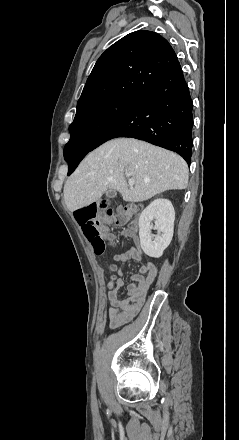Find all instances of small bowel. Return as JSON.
I'll use <instances>...</instances> for the list:
<instances>
[{
	"label": "small bowel",
	"instance_id": "small-bowel-1",
	"mask_svg": "<svg viewBox=\"0 0 239 440\" xmlns=\"http://www.w3.org/2000/svg\"><path fill=\"white\" fill-rule=\"evenodd\" d=\"M129 259L143 261V256L137 245L130 246L126 251L114 256L115 262L121 263ZM118 275L113 276L109 284L108 297L111 308L108 310V320L111 328L120 327L128 323L142 307L147 292L155 280L157 268L151 261H146L139 269L138 274L130 277L131 282L127 285L126 296H120L123 287L121 279L122 271L117 270Z\"/></svg>",
	"mask_w": 239,
	"mask_h": 440
}]
</instances>
